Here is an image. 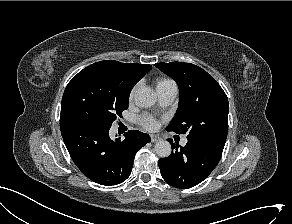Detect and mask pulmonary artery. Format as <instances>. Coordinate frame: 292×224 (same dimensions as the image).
I'll return each mask as SVG.
<instances>
[{"mask_svg": "<svg viewBox=\"0 0 292 224\" xmlns=\"http://www.w3.org/2000/svg\"><path fill=\"white\" fill-rule=\"evenodd\" d=\"M178 93L177 86L174 82L164 84L157 87L158 102L161 107H168L173 103ZM187 139L182 140V144L185 145Z\"/></svg>", "mask_w": 292, "mask_h": 224, "instance_id": "obj_1", "label": "pulmonary artery"}]
</instances>
